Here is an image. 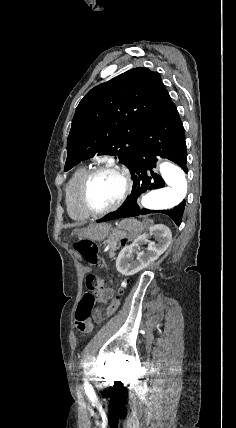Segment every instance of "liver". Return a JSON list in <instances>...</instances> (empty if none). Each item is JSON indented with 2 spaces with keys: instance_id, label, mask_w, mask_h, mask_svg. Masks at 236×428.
<instances>
[{
  "instance_id": "liver-1",
  "label": "liver",
  "mask_w": 236,
  "mask_h": 428,
  "mask_svg": "<svg viewBox=\"0 0 236 428\" xmlns=\"http://www.w3.org/2000/svg\"><path fill=\"white\" fill-rule=\"evenodd\" d=\"M74 232H79V230H74ZM79 234H82V232H79Z\"/></svg>"
}]
</instances>
